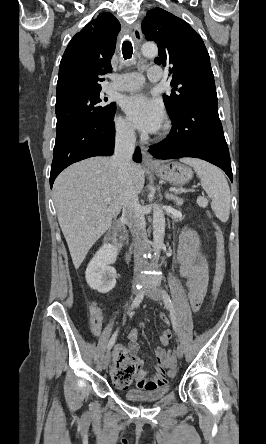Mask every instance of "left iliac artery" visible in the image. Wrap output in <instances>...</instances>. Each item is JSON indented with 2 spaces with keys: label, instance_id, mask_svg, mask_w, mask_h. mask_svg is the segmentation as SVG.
Wrapping results in <instances>:
<instances>
[{
  "label": "left iliac artery",
  "instance_id": "1",
  "mask_svg": "<svg viewBox=\"0 0 266 444\" xmlns=\"http://www.w3.org/2000/svg\"><path fill=\"white\" fill-rule=\"evenodd\" d=\"M162 294H163L164 302L168 305V307L170 309V316H171V320H172L173 329L175 332H177V322H176V316H175L173 302L165 290H162Z\"/></svg>",
  "mask_w": 266,
  "mask_h": 444
}]
</instances>
